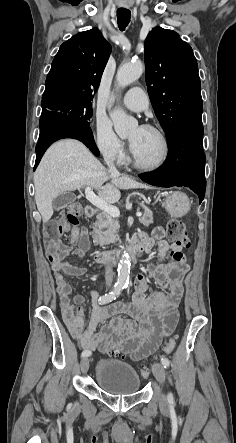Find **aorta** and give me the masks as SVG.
I'll list each match as a JSON object with an SVG mask.
<instances>
[{
	"label": "aorta",
	"instance_id": "obj_1",
	"mask_svg": "<svg viewBox=\"0 0 236 443\" xmlns=\"http://www.w3.org/2000/svg\"><path fill=\"white\" fill-rule=\"evenodd\" d=\"M143 65L140 62L122 64L116 74V81L119 87H126L140 78L143 73ZM110 118L114 125V130L120 138H126L138 126L134 117L128 116L122 109L115 108L110 113ZM130 256L124 252L118 264L117 283L120 286H127L130 278Z\"/></svg>",
	"mask_w": 236,
	"mask_h": 443
}]
</instances>
